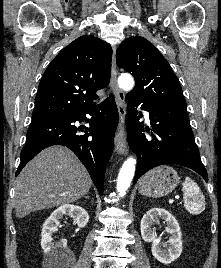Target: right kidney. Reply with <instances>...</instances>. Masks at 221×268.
I'll return each mask as SVG.
<instances>
[{"instance_id": "right-kidney-1", "label": "right kidney", "mask_w": 221, "mask_h": 268, "mask_svg": "<svg viewBox=\"0 0 221 268\" xmlns=\"http://www.w3.org/2000/svg\"><path fill=\"white\" fill-rule=\"evenodd\" d=\"M69 215L74 218V222L79 228H83L89 221V215L85 209L78 205L65 204L52 212L43 224L41 233V247L47 254H55L59 249L66 247L67 240L62 239L59 242H53L52 235L58 230L59 220Z\"/></svg>"}]
</instances>
